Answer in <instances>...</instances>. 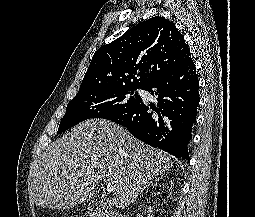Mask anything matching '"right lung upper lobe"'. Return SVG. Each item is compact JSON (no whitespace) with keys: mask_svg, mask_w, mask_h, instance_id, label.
<instances>
[{"mask_svg":"<svg viewBox=\"0 0 255 217\" xmlns=\"http://www.w3.org/2000/svg\"><path fill=\"white\" fill-rule=\"evenodd\" d=\"M190 59V50L175 24L163 17H154L99 48L78 92L147 87Z\"/></svg>","mask_w":255,"mask_h":217,"instance_id":"right-lung-upper-lobe-1","label":"right lung upper lobe"}]
</instances>
